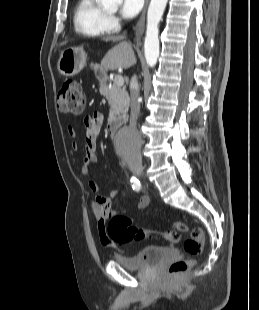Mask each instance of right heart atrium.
Here are the masks:
<instances>
[{"instance_id":"right-heart-atrium-1","label":"right heart atrium","mask_w":259,"mask_h":310,"mask_svg":"<svg viewBox=\"0 0 259 310\" xmlns=\"http://www.w3.org/2000/svg\"><path fill=\"white\" fill-rule=\"evenodd\" d=\"M107 26L109 30H115L119 26L118 18L113 14H109L107 16Z\"/></svg>"}]
</instances>
